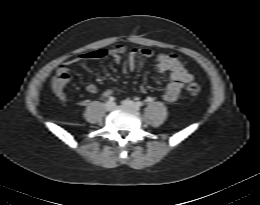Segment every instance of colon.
Listing matches in <instances>:
<instances>
[{"mask_svg":"<svg viewBox=\"0 0 260 205\" xmlns=\"http://www.w3.org/2000/svg\"><path fill=\"white\" fill-rule=\"evenodd\" d=\"M186 91L191 95H198L201 92V86L198 83L192 82L186 86Z\"/></svg>","mask_w":260,"mask_h":205,"instance_id":"colon-1","label":"colon"}]
</instances>
